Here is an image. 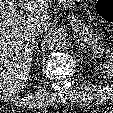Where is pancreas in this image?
Segmentation results:
<instances>
[{
  "mask_svg": "<svg viewBox=\"0 0 113 113\" xmlns=\"http://www.w3.org/2000/svg\"><path fill=\"white\" fill-rule=\"evenodd\" d=\"M67 18L73 29L77 30L78 34L82 38H86V43L96 46L100 42V35L95 33L92 28H89L85 24L81 23V20H79L78 17H76L73 13H69Z\"/></svg>",
  "mask_w": 113,
  "mask_h": 113,
  "instance_id": "pancreas-1",
  "label": "pancreas"
}]
</instances>
